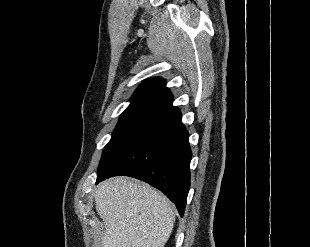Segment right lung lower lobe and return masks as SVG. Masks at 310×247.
I'll list each match as a JSON object with an SVG mask.
<instances>
[{"mask_svg": "<svg viewBox=\"0 0 310 247\" xmlns=\"http://www.w3.org/2000/svg\"><path fill=\"white\" fill-rule=\"evenodd\" d=\"M180 110L172 106L143 125L103 167L96 184L117 175L162 191L183 216L190 188L192 153Z\"/></svg>", "mask_w": 310, "mask_h": 247, "instance_id": "obj_1", "label": "right lung lower lobe"}]
</instances>
